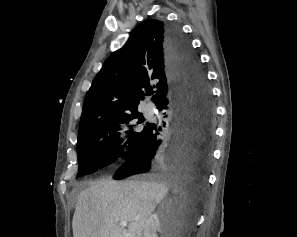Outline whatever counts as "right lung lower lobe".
<instances>
[{
	"mask_svg": "<svg viewBox=\"0 0 297 237\" xmlns=\"http://www.w3.org/2000/svg\"><path fill=\"white\" fill-rule=\"evenodd\" d=\"M166 50L172 90L157 106L165 110L168 132L159 138L152 125L146 138L116 171L115 180L143 173H198L211 162L214 106L209 85L197 56L180 28L166 25Z\"/></svg>",
	"mask_w": 297,
	"mask_h": 237,
	"instance_id": "1",
	"label": "right lung lower lobe"
}]
</instances>
